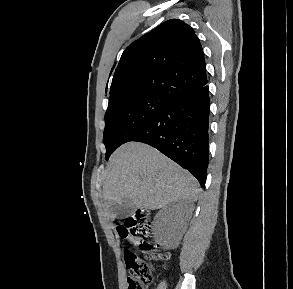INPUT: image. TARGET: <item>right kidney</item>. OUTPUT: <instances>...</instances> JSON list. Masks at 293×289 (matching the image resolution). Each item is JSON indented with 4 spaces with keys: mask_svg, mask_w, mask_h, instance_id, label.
Listing matches in <instances>:
<instances>
[{
    "mask_svg": "<svg viewBox=\"0 0 293 289\" xmlns=\"http://www.w3.org/2000/svg\"><path fill=\"white\" fill-rule=\"evenodd\" d=\"M190 207L187 203L178 200L163 207L154 218V227L168 248L179 244L187 229V219Z\"/></svg>",
    "mask_w": 293,
    "mask_h": 289,
    "instance_id": "right-kidney-1",
    "label": "right kidney"
}]
</instances>
